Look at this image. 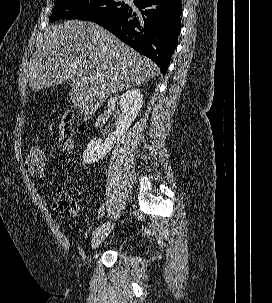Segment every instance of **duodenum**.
Returning a JSON list of instances; mask_svg holds the SVG:
<instances>
[{
    "mask_svg": "<svg viewBox=\"0 0 272 303\" xmlns=\"http://www.w3.org/2000/svg\"><path fill=\"white\" fill-rule=\"evenodd\" d=\"M82 132L84 131V127L81 128Z\"/></svg>",
    "mask_w": 272,
    "mask_h": 303,
    "instance_id": "duodenum-1",
    "label": "duodenum"
}]
</instances>
